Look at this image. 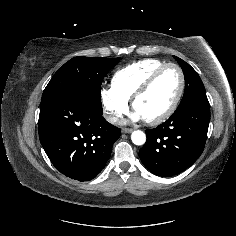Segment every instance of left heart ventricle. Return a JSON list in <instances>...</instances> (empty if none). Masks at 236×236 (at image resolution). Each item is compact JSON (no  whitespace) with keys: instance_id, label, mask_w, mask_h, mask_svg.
Listing matches in <instances>:
<instances>
[{"instance_id":"obj_1","label":"left heart ventricle","mask_w":236,"mask_h":236,"mask_svg":"<svg viewBox=\"0 0 236 236\" xmlns=\"http://www.w3.org/2000/svg\"><path fill=\"white\" fill-rule=\"evenodd\" d=\"M180 77L176 69H167L152 85L150 90L138 99L135 111L144 120H151L162 114L176 97Z\"/></svg>"}]
</instances>
